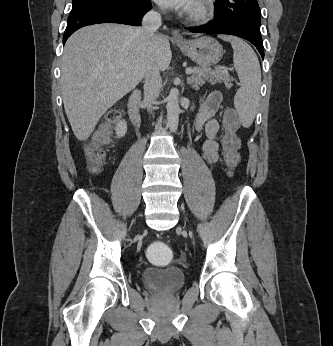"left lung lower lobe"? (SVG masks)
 <instances>
[{"label":"left lung lower lobe","mask_w":333,"mask_h":346,"mask_svg":"<svg viewBox=\"0 0 333 346\" xmlns=\"http://www.w3.org/2000/svg\"><path fill=\"white\" fill-rule=\"evenodd\" d=\"M191 32L209 34H227L244 38L251 42L259 51L262 59L264 58V47L260 30L235 20H213L209 24L190 28Z\"/></svg>","instance_id":"1"}]
</instances>
